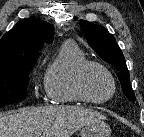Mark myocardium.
Returning a JSON list of instances; mask_svg holds the SVG:
<instances>
[{"label":"myocardium","instance_id":"1","mask_svg":"<svg viewBox=\"0 0 144 137\" xmlns=\"http://www.w3.org/2000/svg\"><path fill=\"white\" fill-rule=\"evenodd\" d=\"M93 67L102 70L108 76L111 82V85H112L111 93L105 98H101V99L92 98L91 96L88 95V93L85 90V87H84L85 74L90 68H93ZM74 89H75L77 96L82 101L91 103V104H103V103L108 102L115 96L116 91H117V83L112 72L104 64L97 62V61L87 60L82 65H80V67L76 71L75 78H74Z\"/></svg>","mask_w":144,"mask_h":137}]
</instances>
